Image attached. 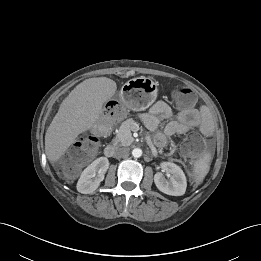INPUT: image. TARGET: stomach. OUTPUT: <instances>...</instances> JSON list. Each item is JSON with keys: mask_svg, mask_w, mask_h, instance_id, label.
Masks as SVG:
<instances>
[{"mask_svg": "<svg viewBox=\"0 0 261 261\" xmlns=\"http://www.w3.org/2000/svg\"><path fill=\"white\" fill-rule=\"evenodd\" d=\"M157 85L149 78H134L127 81L120 94L121 104L133 111L148 108L156 99Z\"/></svg>", "mask_w": 261, "mask_h": 261, "instance_id": "1", "label": "stomach"}]
</instances>
